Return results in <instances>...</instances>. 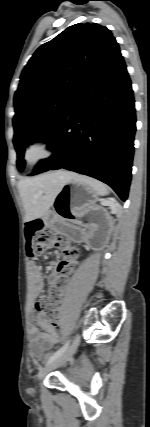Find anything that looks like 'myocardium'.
<instances>
[{
  "label": "myocardium",
  "instance_id": "obj_1",
  "mask_svg": "<svg viewBox=\"0 0 150 427\" xmlns=\"http://www.w3.org/2000/svg\"><path fill=\"white\" fill-rule=\"evenodd\" d=\"M34 151H38L39 155L31 158L30 155ZM56 152L57 148L54 140L49 135L41 134L32 138L25 145L22 160L27 167L34 168L54 157Z\"/></svg>",
  "mask_w": 150,
  "mask_h": 427
}]
</instances>
